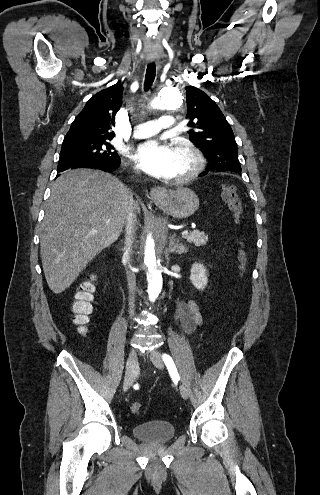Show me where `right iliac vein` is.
<instances>
[{
  "instance_id": "obj_1",
  "label": "right iliac vein",
  "mask_w": 320,
  "mask_h": 495,
  "mask_svg": "<svg viewBox=\"0 0 320 495\" xmlns=\"http://www.w3.org/2000/svg\"><path fill=\"white\" fill-rule=\"evenodd\" d=\"M137 363V354L134 349H131L128 356L126 372L123 383V391H127L133 383L134 370Z\"/></svg>"
}]
</instances>
